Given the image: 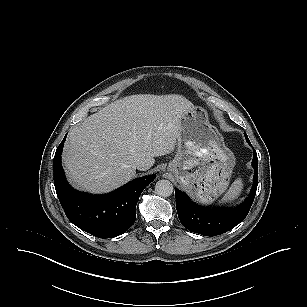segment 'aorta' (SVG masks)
<instances>
[{"instance_id": "obj_1", "label": "aorta", "mask_w": 307, "mask_h": 307, "mask_svg": "<svg viewBox=\"0 0 307 307\" xmlns=\"http://www.w3.org/2000/svg\"><path fill=\"white\" fill-rule=\"evenodd\" d=\"M157 195L169 197L173 193V185L169 180H159L155 185Z\"/></svg>"}]
</instances>
